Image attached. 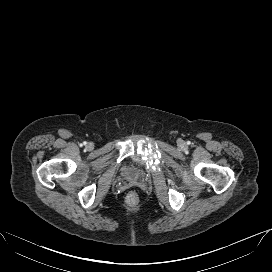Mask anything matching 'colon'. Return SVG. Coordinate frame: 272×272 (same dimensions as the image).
Instances as JSON below:
<instances>
[{"label": "colon", "mask_w": 272, "mask_h": 272, "mask_svg": "<svg viewBox=\"0 0 272 272\" xmlns=\"http://www.w3.org/2000/svg\"><path fill=\"white\" fill-rule=\"evenodd\" d=\"M139 202V195L132 191V192H129L126 196V203L129 205V206H136Z\"/></svg>", "instance_id": "1"}]
</instances>
